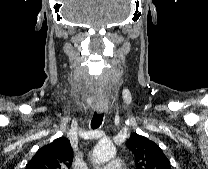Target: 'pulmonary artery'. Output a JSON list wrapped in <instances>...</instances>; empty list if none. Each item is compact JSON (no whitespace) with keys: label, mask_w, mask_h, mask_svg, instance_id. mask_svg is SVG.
Instances as JSON below:
<instances>
[{"label":"pulmonary artery","mask_w":208,"mask_h":169,"mask_svg":"<svg viewBox=\"0 0 208 169\" xmlns=\"http://www.w3.org/2000/svg\"><path fill=\"white\" fill-rule=\"evenodd\" d=\"M94 169H126L124 161L120 158H113L107 164L95 167Z\"/></svg>","instance_id":"1"}]
</instances>
